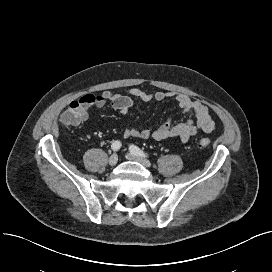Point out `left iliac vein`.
<instances>
[{
  "label": "left iliac vein",
  "instance_id": "1",
  "mask_svg": "<svg viewBox=\"0 0 272 272\" xmlns=\"http://www.w3.org/2000/svg\"><path fill=\"white\" fill-rule=\"evenodd\" d=\"M126 158L128 160H132V161H136L139 162L140 164H142L143 166L150 168L151 167V163L150 161H148L147 159L140 157V156H136L133 153H127Z\"/></svg>",
  "mask_w": 272,
  "mask_h": 272
}]
</instances>
